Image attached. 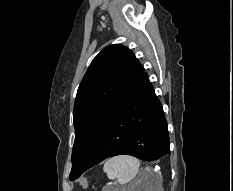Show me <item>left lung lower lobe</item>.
<instances>
[{"mask_svg":"<svg viewBox=\"0 0 233 191\" xmlns=\"http://www.w3.org/2000/svg\"><path fill=\"white\" fill-rule=\"evenodd\" d=\"M127 154L146 161L170 154L167 122L148 75L143 73L108 125L80 174L104 159Z\"/></svg>","mask_w":233,"mask_h":191,"instance_id":"0a47b994","label":"left lung lower lobe"}]
</instances>
